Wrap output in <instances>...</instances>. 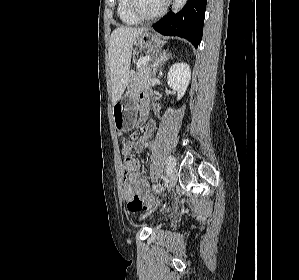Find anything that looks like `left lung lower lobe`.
Returning <instances> with one entry per match:
<instances>
[{
  "mask_svg": "<svg viewBox=\"0 0 299 280\" xmlns=\"http://www.w3.org/2000/svg\"><path fill=\"white\" fill-rule=\"evenodd\" d=\"M206 0H188L176 15L169 12L152 27L163 35L179 36L198 47L203 34Z\"/></svg>",
  "mask_w": 299,
  "mask_h": 280,
  "instance_id": "left-lung-lower-lobe-1",
  "label": "left lung lower lobe"
}]
</instances>
